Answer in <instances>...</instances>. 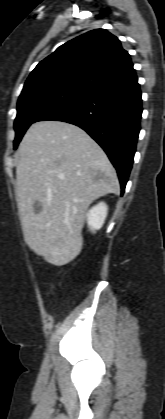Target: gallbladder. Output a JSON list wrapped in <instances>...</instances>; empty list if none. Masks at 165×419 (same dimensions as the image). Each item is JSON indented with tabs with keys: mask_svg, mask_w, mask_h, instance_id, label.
<instances>
[{
	"mask_svg": "<svg viewBox=\"0 0 165 419\" xmlns=\"http://www.w3.org/2000/svg\"><path fill=\"white\" fill-rule=\"evenodd\" d=\"M33 207H34L35 213H39L40 212L41 205L39 204V202H35L34 205H33Z\"/></svg>",
	"mask_w": 165,
	"mask_h": 419,
	"instance_id": "obj_1",
	"label": "gallbladder"
}]
</instances>
